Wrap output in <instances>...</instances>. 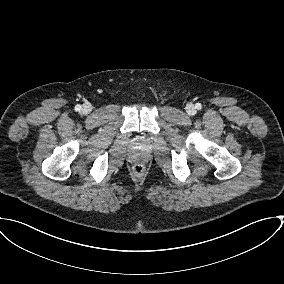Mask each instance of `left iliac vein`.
<instances>
[{"instance_id":"4c4485c4","label":"left iliac vein","mask_w":284,"mask_h":284,"mask_svg":"<svg viewBox=\"0 0 284 284\" xmlns=\"http://www.w3.org/2000/svg\"><path fill=\"white\" fill-rule=\"evenodd\" d=\"M186 111H187L188 114L193 115V114H195L196 109L193 105L189 104L186 107Z\"/></svg>"}]
</instances>
